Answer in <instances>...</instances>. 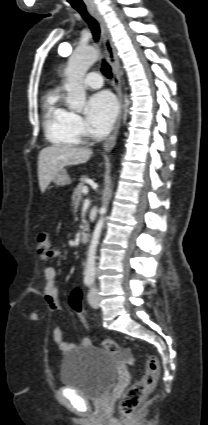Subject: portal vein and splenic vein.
I'll use <instances>...</instances> for the list:
<instances>
[{"label": "portal vein and splenic vein", "mask_w": 208, "mask_h": 425, "mask_svg": "<svg viewBox=\"0 0 208 425\" xmlns=\"http://www.w3.org/2000/svg\"><path fill=\"white\" fill-rule=\"evenodd\" d=\"M82 192H83L84 194H87V193H88V188L85 186V187L82 189Z\"/></svg>", "instance_id": "18ae733b"}]
</instances>
